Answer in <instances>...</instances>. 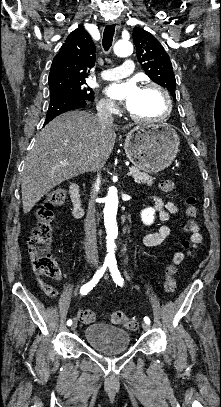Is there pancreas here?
I'll return each instance as SVG.
<instances>
[{
	"mask_svg": "<svg viewBox=\"0 0 221 407\" xmlns=\"http://www.w3.org/2000/svg\"><path fill=\"white\" fill-rule=\"evenodd\" d=\"M129 170L132 171L131 176L135 182L147 184L148 186H152L153 178L151 176H149L147 173L141 172L136 167H130Z\"/></svg>",
	"mask_w": 221,
	"mask_h": 407,
	"instance_id": "1",
	"label": "pancreas"
}]
</instances>
